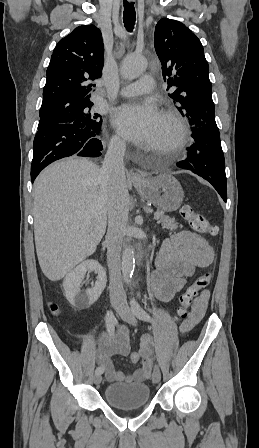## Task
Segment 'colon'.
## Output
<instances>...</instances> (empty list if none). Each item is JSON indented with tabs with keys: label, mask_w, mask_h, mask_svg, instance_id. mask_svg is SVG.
Here are the masks:
<instances>
[{
	"label": "colon",
	"mask_w": 259,
	"mask_h": 448,
	"mask_svg": "<svg viewBox=\"0 0 259 448\" xmlns=\"http://www.w3.org/2000/svg\"><path fill=\"white\" fill-rule=\"evenodd\" d=\"M182 217L188 222L190 227L199 233H205L209 235H215L217 229L212 225L209 220L200 212L194 210L190 205L185 204L180 208ZM212 274L210 272L199 276L186 290L179 296L177 317L181 321L188 319L190 314V308L194 305L199 294L204 291L211 283ZM50 311L53 314H58L59 307L57 304H50ZM132 363H137L140 360V356L137 353L130 355Z\"/></svg>",
	"instance_id": "obj_1"
}]
</instances>
